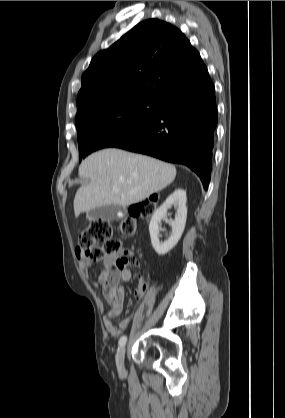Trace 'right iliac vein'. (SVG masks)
<instances>
[{"mask_svg": "<svg viewBox=\"0 0 285 418\" xmlns=\"http://www.w3.org/2000/svg\"><path fill=\"white\" fill-rule=\"evenodd\" d=\"M125 352H126V348L122 347L119 349V351L116 354V366L120 372H123L125 370V367H124Z\"/></svg>", "mask_w": 285, "mask_h": 418, "instance_id": "1", "label": "right iliac vein"}]
</instances>
